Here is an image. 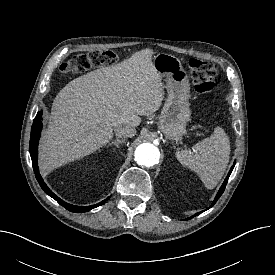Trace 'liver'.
Instances as JSON below:
<instances>
[{"mask_svg":"<svg viewBox=\"0 0 275 275\" xmlns=\"http://www.w3.org/2000/svg\"><path fill=\"white\" fill-rule=\"evenodd\" d=\"M153 53L144 49L121 63L91 71L57 94L40 143L43 171L93 153L113 138L117 125L137 127L140 116L160 108L164 91Z\"/></svg>","mask_w":275,"mask_h":275,"instance_id":"liver-1","label":"liver"}]
</instances>
